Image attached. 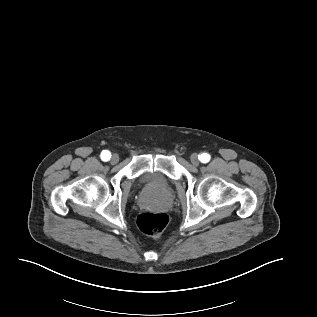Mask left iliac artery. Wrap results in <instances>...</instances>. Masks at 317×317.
I'll use <instances>...</instances> for the list:
<instances>
[{"label": "left iliac artery", "instance_id": "left-iliac-artery-1", "mask_svg": "<svg viewBox=\"0 0 317 317\" xmlns=\"http://www.w3.org/2000/svg\"><path fill=\"white\" fill-rule=\"evenodd\" d=\"M210 155L208 153H202L200 156H199V160L202 162V163H207L210 161Z\"/></svg>", "mask_w": 317, "mask_h": 317}]
</instances>
